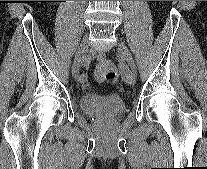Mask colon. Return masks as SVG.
Instances as JSON below:
<instances>
[{
    "label": "colon",
    "mask_w": 207,
    "mask_h": 169,
    "mask_svg": "<svg viewBox=\"0 0 207 169\" xmlns=\"http://www.w3.org/2000/svg\"><path fill=\"white\" fill-rule=\"evenodd\" d=\"M94 77L98 82H106L108 84H117L119 82L116 66L110 59L103 56L97 60Z\"/></svg>",
    "instance_id": "1"
}]
</instances>
